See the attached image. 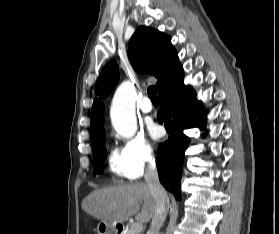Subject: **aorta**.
Here are the masks:
<instances>
[{"label":"aorta","instance_id":"1","mask_svg":"<svg viewBox=\"0 0 279 234\" xmlns=\"http://www.w3.org/2000/svg\"><path fill=\"white\" fill-rule=\"evenodd\" d=\"M135 101L134 85L129 81L123 82L114 94L110 117L115 131L125 138L134 136L137 130Z\"/></svg>","mask_w":279,"mask_h":234}]
</instances>
